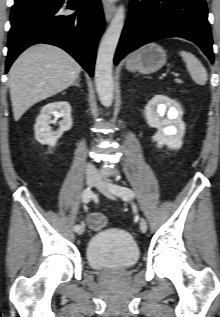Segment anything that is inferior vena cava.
<instances>
[{"label":"inferior vena cava","instance_id":"inferior-vena-cava-1","mask_svg":"<svg viewBox=\"0 0 220 317\" xmlns=\"http://www.w3.org/2000/svg\"><path fill=\"white\" fill-rule=\"evenodd\" d=\"M87 171L89 172H95L96 168L92 165V164H88L87 165Z\"/></svg>","mask_w":220,"mask_h":317}]
</instances>
